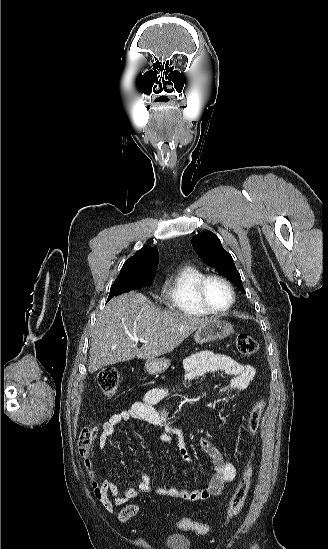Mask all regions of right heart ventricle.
<instances>
[{"label":"right heart ventricle","instance_id":"right-heart-ventricle-1","mask_svg":"<svg viewBox=\"0 0 328 549\" xmlns=\"http://www.w3.org/2000/svg\"><path fill=\"white\" fill-rule=\"evenodd\" d=\"M205 275L206 271L198 264H190L173 271L156 295L157 303H174L175 310H179V319H206L208 316L195 309L199 305L196 287Z\"/></svg>","mask_w":328,"mask_h":549}]
</instances>
